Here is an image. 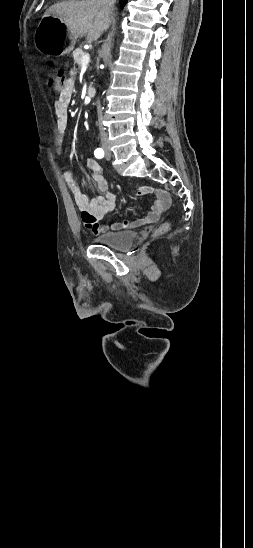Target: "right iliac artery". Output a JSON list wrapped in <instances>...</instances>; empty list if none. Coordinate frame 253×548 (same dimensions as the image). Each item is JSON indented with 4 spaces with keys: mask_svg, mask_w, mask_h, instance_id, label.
Instances as JSON below:
<instances>
[{
    "mask_svg": "<svg viewBox=\"0 0 253 548\" xmlns=\"http://www.w3.org/2000/svg\"><path fill=\"white\" fill-rule=\"evenodd\" d=\"M94 155L96 158H103L104 157V150L102 148H97L95 151H94Z\"/></svg>",
    "mask_w": 253,
    "mask_h": 548,
    "instance_id": "1",
    "label": "right iliac artery"
}]
</instances>
